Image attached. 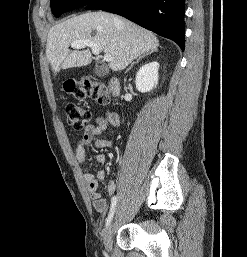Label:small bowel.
<instances>
[{"mask_svg":"<svg viewBox=\"0 0 247 257\" xmlns=\"http://www.w3.org/2000/svg\"><path fill=\"white\" fill-rule=\"evenodd\" d=\"M120 118L116 113H108L104 118L97 120L95 125L86 126L83 135L79 139L75 147V157L80 165L86 164V146L91 144L95 137L101 135L109 128H115L119 125ZM110 145V141L107 139H97L94 142L96 149H101ZM96 160L99 164L106 163L107 158L104 154H98ZM84 180L87 184L90 197L93 202V206L99 213H105L108 209V202L102 197L99 191V181L105 179L106 173L103 169L96 171L95 173L87 172L84 174ZM116 192V182L111 180L107 184V193L113 195Z\"/></svg>","mask_w":247,"mask_h":257,"instance_id":"small-bowel-1","label":"small bowel"}]
</instances>
